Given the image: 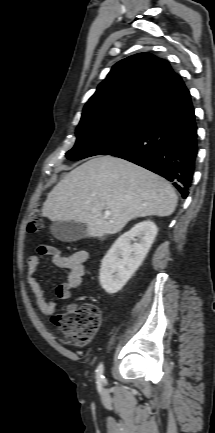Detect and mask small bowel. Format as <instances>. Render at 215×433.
<instances>
[{
  "instance_id": "1",
  "label": "small bowel",
  "mask_w": 215,
  "mask_h": 433,
  "mask_svg": "<svg viewBox=\"0 0 215 433\" xmlns=\"http://www.w3.org/2000/svg\"><path fill=\"white\" fill-rule=\"evenodd\" d=\"M38 253L49 257L55 267L69 270L66 281L56 287L55 295L60 299H70L73 292L81 286L85 275L86 262L89 259V252L82 249L69 255H63L57 248L43 244L39 246ZM26 263L27 280L36 305L42 313L50 315L56 310V304L53 300L46 298L36 277L39 257L29 255ZM69 309H74V306L71 305Z\"/></svg>"
}]
</instances>
